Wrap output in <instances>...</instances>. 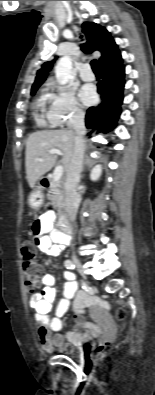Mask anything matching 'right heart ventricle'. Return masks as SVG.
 Instances as JSON below:
<instances>
[{"instance_id":"right-heart-ventricle-1","label":"right heart ventricle","mask_w":155,"mask_h":395,"mask_svg":"<svg viewBox=\"0 0 155 395\" xmlns=\"http://www.w3.org/2000/svg\"><path fill=\"white\" fill-rule=\"evenodd\" d=\"M48 101V94L47 93H43L37 103H36V122L41 125V126H51L49 118H48V113H46L45 107H46V103Z\"/></svg>"}]
</instances>
